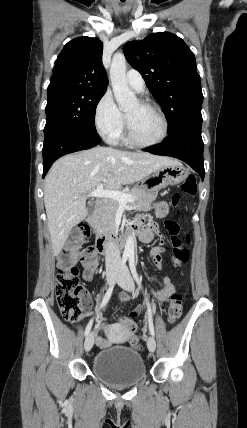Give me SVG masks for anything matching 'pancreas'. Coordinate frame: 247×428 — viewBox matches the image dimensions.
<instances>
[{
    "label": "pancreas",
    "mask_w": 247,
    "mask_h": 428,
    "mask_svg": "<svg viewBox=\"0 0 247 428\" xmlns=\"http://www.w3.org/2000/svg\"><path fill=\"white\" fill-rule=\"evenodd\" d=\"M124 193L133 195L135 201L131 203V206L136 211H144L148 209L151 203L156 199L158 191L149 192L141 186H134L131 190L124 191ZM119 207V202L116 200H109L106 205L99 212L95 228L99 232H103L108 228L116 229L115 226V215Z\"/></svg>",
    "instance_id": "cf45deb5"
}]
</instances>
